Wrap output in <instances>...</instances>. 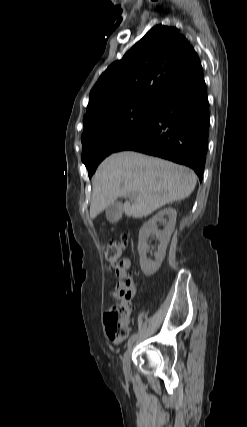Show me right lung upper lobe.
Segmentation results:
<instances>
[{
    "instance_id": "cb5924a9",
    "label": "right lung upper lobe",
    "mask_w": 247,
    "mask_h": 427,
    "mask_svg": "<svg viewBox=\"0 0 247 427\" xmlns=\"http://www.w3.org/2000/svg\"><path fill=\"white\" fill-rule=\"evenodd\" d=\"M202 73L197 53L179 30L157 25L100 76L89 95L84 129L132 106H157Z\"/></svg>"
}]
</instances>
